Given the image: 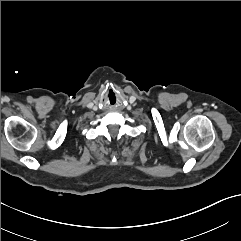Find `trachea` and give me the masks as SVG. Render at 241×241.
<instances>
[{
	"label": "trachea",
	"instance_id": "trachea-1",
	"mask_svg": "<svg viewBox=\"0 0 241 241\" xmlns=\"http://www.w3.org/2000/svg\"><path fill=\"white\" fill-rule=\"evenodd\" d=\"M108 103L111 105V106H114L116 103H117V95L114 93V92H111L109 95H108Z\"/></svg>",
	"mask_w": 241,
	"mask_h": 241
}]
</instances>
